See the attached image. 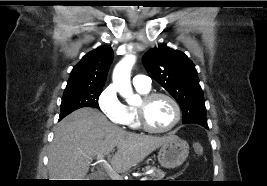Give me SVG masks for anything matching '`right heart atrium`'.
I'll return each instance as SVG.
<instances>
[{
	"mask_svg": "<svg viewBox=\"0 0 267 186\" xmlns=\"http://www.w3.org/2000/svg\"><path fill=\"white\" fill-rule=\"evenodd\" d=\"M98 106L111 122L123 123V104L112 86H107L101 91L98 96Z\"/></svg>",
	"mask_w": 267,
	"mask_h": 186,
	"instance_id": "right-heart-atrium-1",
	"label": "right heart atrium"
}]
</instances>
